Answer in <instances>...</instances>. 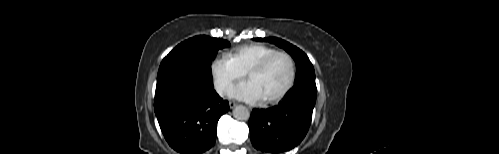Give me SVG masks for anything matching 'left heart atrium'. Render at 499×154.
<instances>
[{"label":"left heart atrium","instance_id":"left-heart-atrium-1","mask_svg":"<svg viewBox=\"0 0 499 154\" xmlns=\"http://www.w3.org/2000/svg\"><path fill=\"white\" fill-rule=\"evenodd\" d=\"M229 95L235 99L250 103H256L264 100L259 89L252 81H245L237 84L230 89Z\"/></svg>","mask_w":499,"mask_h":154}]
</instances>
